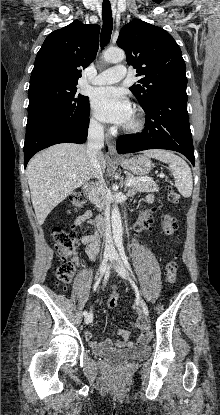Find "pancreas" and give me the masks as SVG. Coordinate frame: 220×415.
Here are the masks:
<instances>
[{
	"instance_id": "obj_1",
	"label": "pancreas",
	"mask_w": 220,
	"mask_h": 415,
	"mask_svg": "<svg viewBox=\"0 0 220 415\" xmlns=\"http://www.w3.org/2000/svg\"><path fill=\"white\" fill-rule=\"evenodd\" d=\"M129 179H139L138 177H134L133 175H127V180ZM131 189L133 192H157L159 190L157 184L154 181H138L131 185ZM108 192L105 187H98L93 190L91 193V201L96 204L98 208H102L108 203Z\"/></svg>"
}]
</instances>
